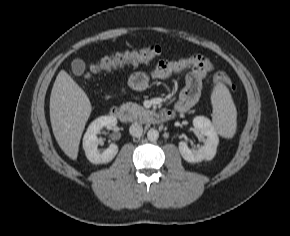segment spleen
I'll return each mask as SVG.
<instances>
[{
  "label": "spleen",
  "instance_id": "spleen-1",
  "mask_svg": "<svg viewBox=\"0 0 290 236\" xmlns=\"http://www.w3.org/2000/svg\"><path fill=\"white\" fill-rule=\"evenodd\" d=\"M213 106L212 119L218 133L231 138L236 131L237 111L227 87L218 83L211 95Z\"/></svg>",
  "mask_w": 290,
  "mask_h": 236
}]
</instances>
